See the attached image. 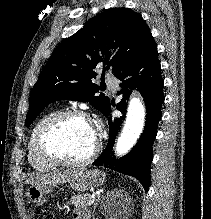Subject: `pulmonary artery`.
<instances>
[{"mask_svg":"<svg viewBox=\"0 0 211 219\" xmlns=\"http://www.w3.org/2000/svg\"><path fill=\"white\" fill-rule=\"evenodd\" d=\"M106 84L112 91H115L117 89L118 83H117V80L115 78L108 77L106 79Z\"/></svg>","mask_w":211,"mask_h":219,"instance_id":"e3ab8cb5","label":"pulmonary artery"}]
</instances>
